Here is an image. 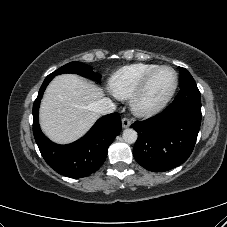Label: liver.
<instances>
[{
    "label": "liver",
    "instance_id": "obj_1",
    "mask_svg": "<svg viewBox=\"0 0 227 227\" xmlns=\"http://www.w3.org/2000/svg\"><path fill=\"white\" fill-rule=\"evenodd\" d=\"M101 88L74 74L55 77L44 94L40 125L54 142L70 143L81 137L99 117L95 103Z\"/></svg>",
    "mask_w": 227,
    "mask_h": 227
}]
</instances>
